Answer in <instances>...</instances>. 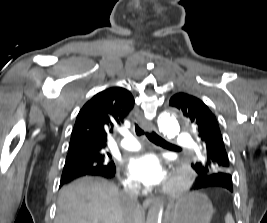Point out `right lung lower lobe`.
<instances>
[{
	"label": "right lung lower lobe",
	"instance_id": "obj_1",
	"mask_svg": "<svg viewBox=\"0 0 267 223\" xmlns=\"http://www.w3.org/2000/svg\"><path fill=\"white\" fill-rule=\"evenodd\" d=\"M86 175H90V176H100V177H104V178H112L115 175V171H93V172H88V173H77V172H63L62 173V177H61V182H60V186H62L63 184L81 177V176H86Z\"/></svg>",
	"mask_w": 267,
	"mask_h": 223
}]
</instances>
